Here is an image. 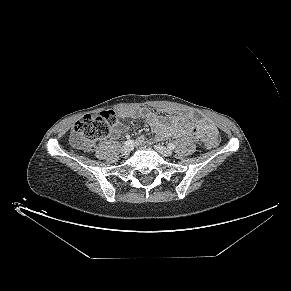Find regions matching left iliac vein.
I'll return each mask as SVG.
<instances>
[{
    "label": "left iliac vein",
    "instance_id": "left-iliac-vein-1",
    "mask_svg": "<svg viewBox=\"0 0 291 291\" xmlns=\"http://www.w3.org/2000/svg\"><path fill=\"white\" fill-rule=\"evenodd\" d=\"M155 149L163 156H171L172 155V151L164 146L156 145Z\"/></svg>",
    "mask_w": 291,
    "mask_h": 291
}]
</instances>
